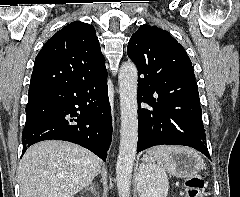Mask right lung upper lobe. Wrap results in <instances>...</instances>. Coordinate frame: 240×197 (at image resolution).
I'll use <instances>...</instances> for the list:
<instances>
[{
    "label": "right lung upper lobe",
    "instance_id": "cb5924a9",
    "mask_svg": "<svg viewBox=\"0 0 240 197\" xmlns=\"http://www.w3.org/2000/svg\"><path fill=\"white\" fill-rule=\"evenodd\" d=\"M107 73L96 31L75 21L52 36L38 53L29 89L53 82H82Z\"/></svg>",
    "mask_w": 240,
    "mask_h": 197
}]
</instances>
